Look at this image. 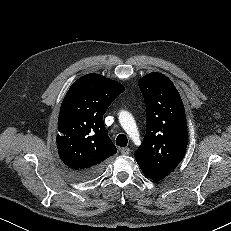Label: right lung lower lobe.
Masks as SVG:
<instances>
[{"instance_id":"98d812e1","label":"right lung lower lobe","mask_w":231,"mask_h":231,"mask_svg":"<svg viewBox=\"0 0 231 231\" xmlns=\"http://www.w3.org/2000/svg\"><path fill=\"white\" fill-rule=\"evenodd\" d=\"M101 170H102V168L99 167V168L86 170L83 172H74V174L79 179H90V178L96 176L97 174H99Z\"/></svg>"}]
</instances>
